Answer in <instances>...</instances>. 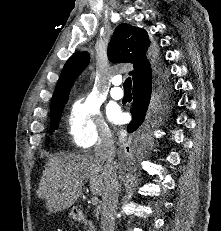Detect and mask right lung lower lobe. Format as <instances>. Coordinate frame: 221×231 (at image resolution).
Returning <instances> with one entry per match:
<instances>
[{"mask_svg": "<svg viewBox=\"0 0 221 231\" xmlns=\"http://www.w3.org/2000/svg\"><path fill=\"white\" fill-rule=\"evenodd\" d=\"M156 74L152 81L133 88L132 121L127 126V132L139 130L147 119V113L157 102L169 99L171 86L170 76L161 57L156 58Z\"/></svg>", "mask_w": 221, "mask_h": 231, "instance_id": "1", "label": "right lung lower lobe"}]
</instances>
